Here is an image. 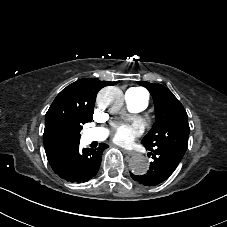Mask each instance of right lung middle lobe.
<instances>
[{
	"label": "right lung middle lobe",
	"instance_id": "1",
	"mask_svg": "<svg viewBox=\"0 0 227 227\" xmlns=\"http://www.w3.org/2000/svg\"><path fill=\"white\" fill-rule=\"evenodd\" d=\"M94 105L76 100L63 101L56 106L45 120V132L61 145L79 143L82 125L93 119Z\"/></svg>",
	"mask_w": 227,
	"mask_h": 227
}]
</instances>
